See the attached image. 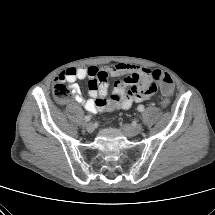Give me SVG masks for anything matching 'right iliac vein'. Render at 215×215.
Segmentation results:
<instances>
[{
    "label": "right iliac vein",
    "mask_w": 215,
    "mask_h": 215,
    "mask_svg": "<svg viewBox=\"0 0 215 215\" xmlns=\"http://www.w3.org/2000/svg\"><path fill=\"white\" fill-rule=\"evenodd\" d=\"M86 130L90 133H92L95 130V126L93 123H87L86 124Z\"/></svg>",
    "instance_id": "right-iliac-vein-1"
}]
</instances>
